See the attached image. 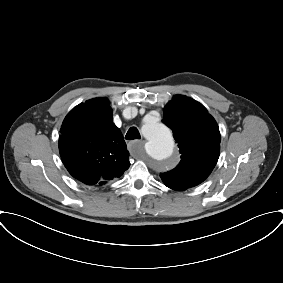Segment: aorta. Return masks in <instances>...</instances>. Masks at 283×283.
I'll list each match as a JSON object with an SVG mask.
<instances>
[{
	"label": "aorta",
	"instance_id": "aorta-1",
	"mask_svg": "<svg viewBox=\"0 0 283 283\" xmlns=\"http://www.w3.org/2000/svg\"><path fill=\"white\" fill-rule=\"evenodd\" d=\"M145 151L159 168L169 167L168 160L173 153L174 141L170 130L160 122L145 124Z\"/></svg>",
	"mask_w": 283,
	"mask_h": 283
}]
</instances>
